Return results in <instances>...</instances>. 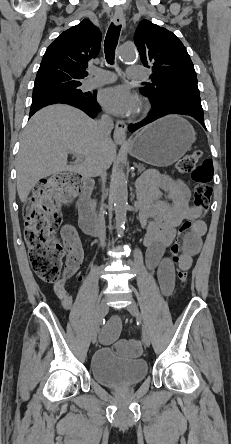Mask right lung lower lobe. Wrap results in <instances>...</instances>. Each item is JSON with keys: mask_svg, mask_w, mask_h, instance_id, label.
Masks as SVG:
<instances>
[{"mask_svg": "<svg viewBox=\"0 0 231 444\" xmlns=\"http://www.w3.org/2000/svg\"><path fill=\"white\" fill-rule=\"evenodd\" d=\"M55 103H64L80 108L92 118L95 117L96 112L99 110L96 94H93V96L87 100H75L62 96H43L33 99L30 108V117L42 107Z\"/></svg>", "mask_w": 231, "mask_h": 444, "instance_id": "right-lung-lower-lobe-1", "label": "right lung lower lobe"}]
</instances>
